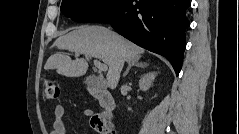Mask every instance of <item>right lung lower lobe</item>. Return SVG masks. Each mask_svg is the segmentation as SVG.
I'll return each instance as SVG.
<instances>
[{"instance_id": "right-lung-lower-lobe-1", "label": "right lung lower lobe", "mask_w": 239, "mask_h": 134, "mask_svg": "<svg viewBox=\"0 0 239 134\" xmlns=\"http://www.w3.org/2000/svg\"><path fill=\"white\" fill-rule=\"evenodd\" d=\"M120 0L112 9L90 22L109 23L135 44L166 57L176 75L185 50V16L189 0Z\"/></svg>"}]
</instances>
